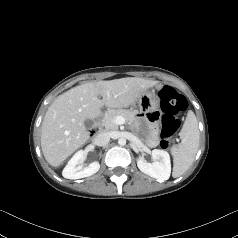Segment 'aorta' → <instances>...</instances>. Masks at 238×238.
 <instances>
[{
    "label": "aorta",
    "mask_w": 238,
    "mask_h": 238,
    "mask_svg": "<svg viewBox=\"0 0 238 238\" xmlns=\"http://www.w3.org/2000/svg\"><path fill=\"white\" fill-rule=\"evenodd\" d=\"M118 144H119L120 146H124V145L126 144V139H125V138H119V139H118Z\"/></svg>",
    "instance_id": "aorta-1"
}]
</instances>
